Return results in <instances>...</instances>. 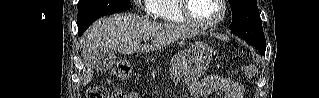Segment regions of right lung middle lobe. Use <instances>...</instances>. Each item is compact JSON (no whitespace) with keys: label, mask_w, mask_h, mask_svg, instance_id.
Returning <instances> with one entry per match:
<instances>
[{"label":"right lung middle lobe","mask_w":319,"mask_h":98,"mask_svg":"<svg viewBox=\"0 0 319 98\" xmlns=\"http://www.w3.org/2000/svg\"><path fill=\"white\" fill-rule=\"evenodd\" d=\"M130 8L129 0H79L78 23Z\"/></svg>","instance_id":"right-lung-middle-lobe-1"}]
</instances>
